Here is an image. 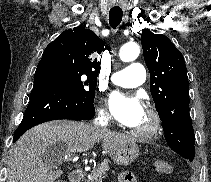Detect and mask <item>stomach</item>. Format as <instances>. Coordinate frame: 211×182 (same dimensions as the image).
<instances>
[{
    "instance_id": "obj_1",
    "label": "stomach",
    "mask_w": 211,
    "mask_h": 182,
    "mask_svg": "<svg viewBox=\"0 0 211 182\" xmlns=\"http://www.w3.org/2000/svg\"><path fill=\"white\" fill-rule=\"evenodd\" d=\"M139 146L134 143H127L122 145L113 155V160L117 165L127 166L130 165L139 155Z\"/></svg>"
}]
</instances>
